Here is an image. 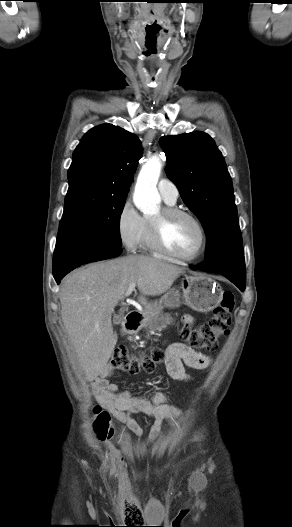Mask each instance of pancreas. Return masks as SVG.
<instances>
[{
	"label": "pancreas",
	"instance_id": "pancreas-1",
	"mask_svg": "<svg viewBox=\"0 0 292 527\" xmlns=\"http://www.w3.org/2000/svg\"><path fill=\"white\" fill-rule=\"evenodd\" d=\"M170 314L162 315L161 317H156L154 320H152L151 324L148 325L149 332L156 331V330H162L167 326V324H170Z\"/></svg>",
	"mask_w": 292,
	"mask_h": 527
}]
</instances>
